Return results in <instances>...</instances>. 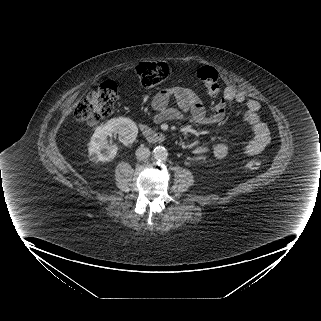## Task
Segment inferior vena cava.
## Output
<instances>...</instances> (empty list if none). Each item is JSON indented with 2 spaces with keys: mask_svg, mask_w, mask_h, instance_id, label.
Returning a JSON list of instances; mask_svg holds the SVG:
<instances>
[{
  "mask_svg": "<svg viewBox=\"0 0 321 321\" xmlns=\"http://www.w3.org/2000/svg\"><path fill=\"white\" fill-rule=\"evenodd\" d=\"M136 158L140 161H144L149 158L150 156V150L147 147H139L136 150Z\"/></svg>",
  "mask_w": 321,
  "mask_h": 321,
  "instance_id": "1",
  "label": "inferior vena cava"
}]
</instances>
